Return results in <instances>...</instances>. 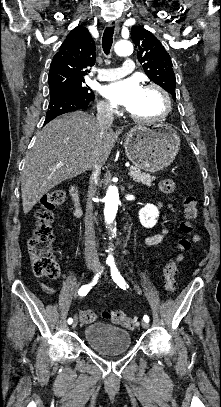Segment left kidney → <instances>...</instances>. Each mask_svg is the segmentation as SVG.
<instances>
[{"label":"left kidney","mask_w":221,"mask_h":407,"mask_svg":"<svg viewBox=\"0 0 221 407\" xmlns=\"http://www.w3.org/2000/svg\"><path fill=\"white\" fill-rule=\"evenodd\" d=\"M159 211L153 204H146L139 210V219L143 227L152 228L156 225Z\"/></svg>","instance_id":"1"}]
</instances>
